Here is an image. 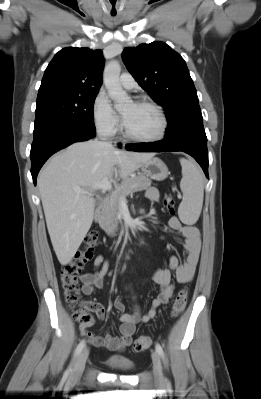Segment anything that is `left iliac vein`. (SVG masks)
<instances>
[{
  "instance_id": "left-iliac-vein-1",
  "label": "left iliac vein",
  "mask_w": 261,
  "mask_h": 399,
  "mask_svg": "<svg viewBox=\"0 0 261 399\" xmlns=\"http://www.w3.org/2000/svg\"><path fill=\"white\" fill-rule=\"evenodd\" d=\"M153 374L156 381L163 380L162 364L160 357L156 351L152 353Z\"/></svg>"
}]
</instances>
